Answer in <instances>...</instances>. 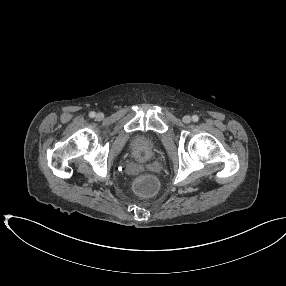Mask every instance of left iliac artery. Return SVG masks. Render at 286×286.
I'll return each instance as SVG.
<instances>
[{
  "label": "left iliac artery",
  "instance_id": "obj_1",
  "mask_svg": "<svg viewBox=\"0 0 286 286\" xmlns=\"http://www.w3.org/2000/svg\"><path fill=\"white\" fill-rule=\"evenodd\" d=\"M192 119H193L194 122H197L199 120V117L197 115H193Z\"/></svg>",
  "mask_w": 286,
  "mask_h": 286
}]
</instances>
